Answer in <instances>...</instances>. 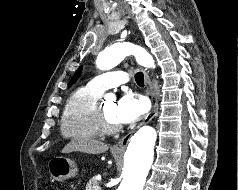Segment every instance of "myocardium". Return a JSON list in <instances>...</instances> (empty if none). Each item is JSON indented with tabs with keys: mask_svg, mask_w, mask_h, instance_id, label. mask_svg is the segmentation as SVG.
<instances>
[{
	"mask_svg": "<svg viewBox=\"0 0 238 190\" xmlns=\"http://www.w3.org/2000/svg\"><path fill=\"white\" fill-rule=\"evenodd\" d=\"M96 123L101 131L104 134H115L121 131L122 126L119 123H112L102 108V105H97L96 107Z\"/></svg>",
	"mask_w": 238,
	"mask_h": 190,
	"instance_id": "f54148a6",
	"label": "myocardium"
}]
</instances>
